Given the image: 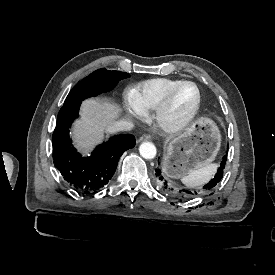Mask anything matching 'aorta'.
Segmentation results:
<instances>
[{
	"mask_svg": "<svg viewBox=\"0 0 275 275\" xmlns=\"http://www.w3.org/2000/svg\"><path fill=\"white\" fill-rule=\"evenodd\" d=\"M140 155L145 159H153L156 156L157 150L152 142H142L139 146Z\"/></svg>",
	"mask_w": 275,
	"mask_h": 275,
	"instance_id": "obj_1",
	"label": "aorta"
}]
</instances>
